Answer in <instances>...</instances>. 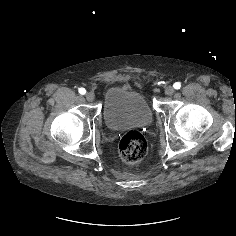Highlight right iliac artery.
I'll return each mask as SVG.
<instances>
[{
  "label": "right iliac artery",
  "mask_w": 236,
  "mask_h": 236,
  "mask_svg": "<svg viewBox=\"0 0 236 236\" xmlns=\"http://www.w3.org/2000/svg\"><path fill=\"white\" fill-rule=\"evenodd\" d=\"M79 93H80L81 95H84V94L86 93V90H85L84 88H80V89H79Z\"/></svg>",
  "instance_id": "right-iliac-artery-1"
}]
</instances>
